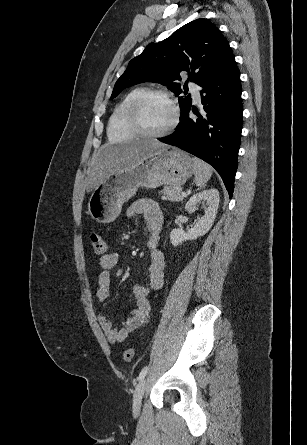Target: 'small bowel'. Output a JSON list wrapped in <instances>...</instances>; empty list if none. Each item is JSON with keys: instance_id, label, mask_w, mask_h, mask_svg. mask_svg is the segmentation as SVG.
I'll use <instances>...</instances> for the list:
<instances>
[{"instance_id": "small-bowel-1", "label": "small bowel", "mask_w": 307, "mask_h": 445, "mask_svg": "<svg viewBox=\"0 0 307 445\" xmlns=\"http://www.w3.org/2000/svg\"><path fill=\"white\" fill-rule=\"evenodd\" d=\"M139 215L144 217L148 232L147 246L152 252L149 278L147 283L137 284L133 287L132 293L136 305L123 320L121 326L116 327L105 314L98 316V322L110 343L125 341L130 334L136 332L148 322L150 318V295L152 291L160 289L164 282L165 262L161 251L158 249L163 222L161 208L154 200L141 199L131 204L127 209L128 217ZM118 259L116 253H107L100 257L99 262L102 270L98 275L96 291V299L99 303H104L109 298L110 272L117 265Z\"/></svg>"}]
</instances>
